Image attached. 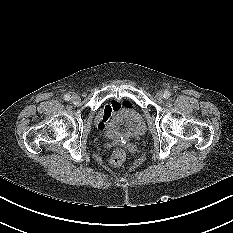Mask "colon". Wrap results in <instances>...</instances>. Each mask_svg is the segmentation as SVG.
Instances as JSON below:
<instances>
[{
  "instance_id": "colon-1",
  "label": "colon",
  "mask_w": 233,
  "mask_h": 233,
  "mask_svg": "<svg viewBox=\"0 0 233 233\" xmlns=\"http://www.w3.org/2000/svg\"><path fill=\"white\" fill-rule=\"evenodd\" d=\"M126 155L123 149L116 148L110 158V164L113 166H120L125 161Z\"/></svg>"
}]
</instances>
